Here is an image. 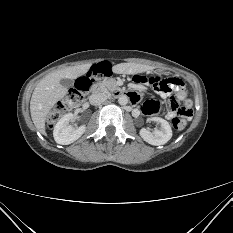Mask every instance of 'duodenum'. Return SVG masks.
Returning a JSON list of instances; mask_svg holds the SVG:
<instances>
[{
	"instance_id": "obj_1",
	"label": "duodenum",
	"mask_w": 233,
	"mask_h": 233,
	"mask_svg": "<svg viewBox=\"0 0 233 233\" xmlns=\"http://www.w3.org/2000/svg\"><path fill=\"white\" fill-rule=\"evenodd\" d=\"M99 71L100 72H107L108 71V66L107 65H100L99 66V70L98 69H93L90 73L87 74V80L88 81H93L98 75H99ZM90 90L93 93H98L99 91L102 90V85L101 84H93L90 87ZM117 95H126L128 96L132 101L135 100L136 96L133 93H125L122 90H117L116 91ZM134 113V111H133Z\"/></svg>"
}]
</instances>
